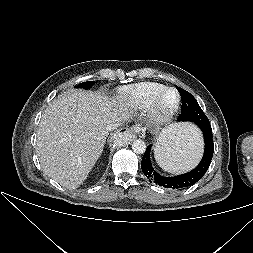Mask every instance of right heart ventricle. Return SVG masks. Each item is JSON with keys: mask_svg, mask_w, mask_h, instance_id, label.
I'll list each match as a JSON object with an SVG mask.
<instances>
[{"mask_svg": "<svg viewBox=\"0 0 253 253\" xmlns=\"http://www.w3.org/2000/svg\"><path fill=\"white\" fill-rule=\"evenodd\" d=\"M166 88L157 82H141L123 87L119 90L120 98L134 109L149 107L154 97Z\"/></svg>", "mask_w": 253, "mask_h": 253, "instance_id": "obj_1", "label": "right heart ventricle"}]
</instances>
